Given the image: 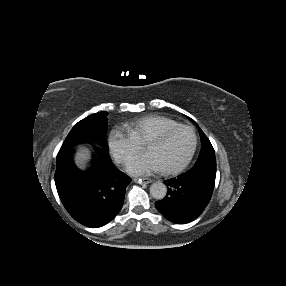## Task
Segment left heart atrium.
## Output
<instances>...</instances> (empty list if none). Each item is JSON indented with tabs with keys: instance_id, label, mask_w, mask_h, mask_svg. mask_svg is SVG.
Returning a JSON list of instances; mask_svg holds the SVG:
<instances>
[{
	"instance_id": "39dd6f15",
	"label": "left heart atrium",
	"mask_w": 286,
	"mask_h": 286,
	"mask_svg": "<svg viewBox=\"0 0 286 286\" xmlns=\"http://www.w3.org/2000/svg\"><path fill=\"white\" fill-rule=\"evenodd\" d=\"M161 169L162 166L149 151L134 156L127 164V171L133 175H147Z\"/></svg>"
}]
</instances>
